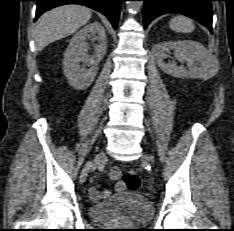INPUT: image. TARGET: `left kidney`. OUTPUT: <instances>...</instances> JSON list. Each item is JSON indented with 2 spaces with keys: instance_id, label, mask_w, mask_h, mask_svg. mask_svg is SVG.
I'll list each match as a JSON object with an SVG mask.
<instances>
[{
  "instance_id": "left-kidney-1",
  "label": "left kidney",
  "mask_w": 234,
  "mask_h": 231,
  "mask_svg": "<svg viewBox=\"0 0 234 231\" xmlns=\"http://www.w3.org/2000/svg\"><path fill=\"white\" fill-rule=\"evenodd\" d=\"M174 51L178 60L187 63L188 69L178 67L175 61L165 62V52ZM158 66L165 73L176 78H201L209 79L219 70L218 60L209 54L206 48L199 42L168 41L157 43L152 48Z\"/></svg>"
}]
</instances>
